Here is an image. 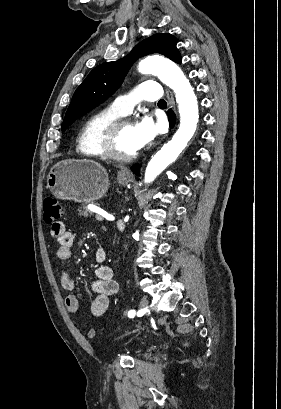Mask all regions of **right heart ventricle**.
Returning a JSON list of instances; mask_svg holds the SVG:
<instances>
[{
    "label": "right heart ventricle",
    "mask_w": 281,
    "mask_h": 409,
    "mask_svg": "<svg viewBox=\"0 0 281 409\" xmlns=\"http://www.w3.org/2000/svg\"><path fill=\"white\" fill-rule=\"evenodd\" d=\"M118 117L119 114L109 108L91 114L85 121L79 138L78 148L81 153L92 158L105 157L100 147V134L108 122Z\"/></svg>",
    "instance_id": "e07e8e85"
}]
</instances>
